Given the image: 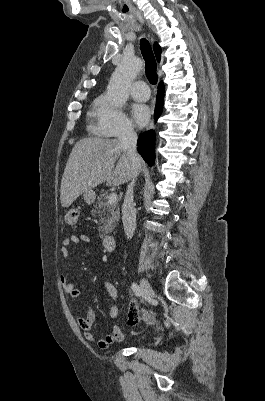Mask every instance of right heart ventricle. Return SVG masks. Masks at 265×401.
<instances>
[{
	"mask_svg": "<svg viewBox=\"0 0 265 401\" xmlns=\"http://www.w3.org/2000/svg\"><path fill=\"white\" fill-rule=\"evenodd\" d=\"M100 100L101 99L97 98L92 102L91 107H90V111H89L90 115L94 116L97 113ZM106 143H110V142L106 141Z\"/></svg>",
	"mask_w": 265,
	"mask_h": 401,
	"instance_id": "obj_1",
	"label": "right heart ventricle"
}]
</instances>
